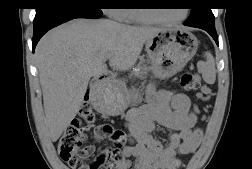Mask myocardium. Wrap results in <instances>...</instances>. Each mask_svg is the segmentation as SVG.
<instances>
[{
    "label": "myocardium",
    "mask_w": 252,
    "mask_h": 169,
    "mask_svg": "<svg viewBox=\"0 0 252 169\" xmlns=\"http://www.w3.org/2000/svg\"><path fill=\"white\" fill-rule=\"evenodd\" d=\"M136 13L138 17L146 23L173 24V23H180L187 18V10H184L179 18L171 20L152 17L147 11H144L142 9H136Z\"/></svg>",
    "instance_id": "myocardium-1"
}]
</instances>
